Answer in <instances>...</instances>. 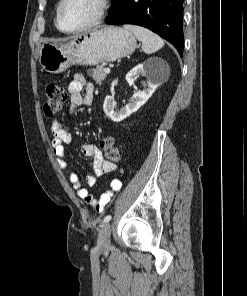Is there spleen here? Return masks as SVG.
Listing matches in <instances>:
<instances>
[{"mask_svg": "<svg viewBox=\"0 0 247 296\" xmlns=\"http://www.w3.org/2000/svg\"><path fill=\"white\" fill-rule=\"evenodd\" d=\"M123 28L133 33L142 42V50L146 54L154 53L164 46V41L161 37L144 27L124 25Z\"/></svg>", "mask_w": 247, "mask_h": 296, "instance_id": "spleen-1", "label": "spleen"}]
</instances>
